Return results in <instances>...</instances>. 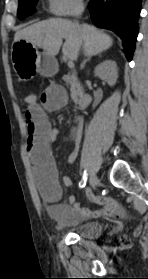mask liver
I'll return each mask as SVG.
<instances>
[{
  "label": "liver",
  "instance_id": "1",
  "mask_svg": "<svg viewBox=\"0 0 148 279\" xmlns=\"http://www.w3.org/2000/svg\"><path fill=\"white\" fill-rule=\"evenodd\" d=\"M63 39L65 43L62 46ZM25 40L42 48L46 54L54 57L61 46L62 53L70 60H77L82 47L86 56L97 55L112 46V38L90 25L75 24L66 19H49L32 24L15 33L14 41Z\"/></svg>",
  "mask_w": 148,
  "mask_h": 279
}]
</instances>
